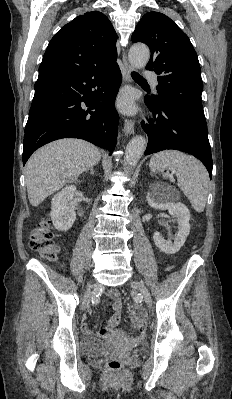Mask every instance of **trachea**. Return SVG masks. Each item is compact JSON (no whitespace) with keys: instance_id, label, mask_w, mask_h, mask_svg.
<instances>
[{"instance_id":"3493384b","label":"trachea","mask_w":232,"mask_h":399,"mask_svg":"<svg viewBox=\"0 0 232 399\" xmlns=\"http://www.w3.org/2000/svg\"><path fill=\"white\" fill-rule=\"evenodd\" d=\"M131 76L134 80H145L139 73L137 72H132Z\"/></svg>"}]
</instances>
